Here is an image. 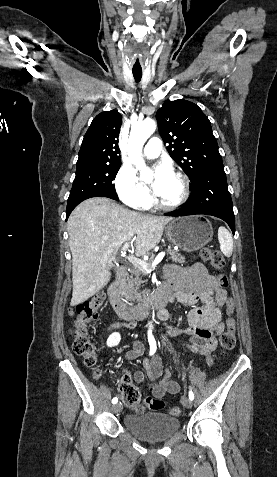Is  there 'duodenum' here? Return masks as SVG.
Masks as SVG:
<instances>
[{"label":"duodenum","instance_id":"410a0bca","mask_svg":"<svg viewBox=\"0 0 277 477\" xmlns=\"http://www.w3.org/2000/svg\"><path fill=\"white\" fill-rule=\"evenodd\" d=\"M126 279V269L120 267L116 271V280L108 289L109 301L115 312L124 320L133 322L144 319L151 311H163L165 306L174 300L165 291L157 293L152 298L136 306H129L122 297V288Z\"/></svg>","mask_w":277,"mask_h":477}]
</instances>
